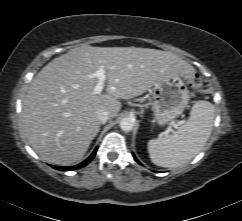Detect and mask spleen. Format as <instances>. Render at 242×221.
<instances>
[{
  "label": "spleen",
  "instance_id": "1",
  "mask_svg": "<svg viewBox=\"0 0 242 221\" xmlns=\"http://www.w3.org/2000/svg\"><path fill=\"white\" fill-rule=\"evenodd\" d=\"M214 113L212 103L204 100L195 102L189 119L177 132L149 140L151 161L161 167H178L193 159L211 135Z\"/></svg>",
  "mask_w": 242,
  "mask_h": 221
}]
</instances>
